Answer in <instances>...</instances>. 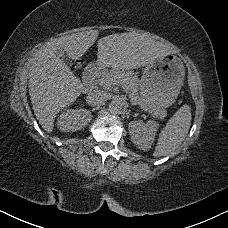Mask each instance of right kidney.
<instances>
[{
  "instance_id": "1",
  "label": "right kidney",
  "mask_w": 228,
  "mask_h": 228,
  "mask_svg": "<svg viewBox=\"0 0 228 228\" xmlns=\"http://www.w3.org/2000/svg\"><path fill=\"white\" fill-rule=\"evenodd\" d=\"M91 119V113L85 110H69L59 119L58 126L64 132H75L85 128Z\"/></svg>"
}]
</instances>
